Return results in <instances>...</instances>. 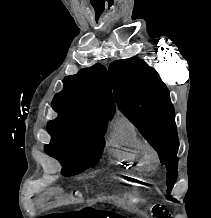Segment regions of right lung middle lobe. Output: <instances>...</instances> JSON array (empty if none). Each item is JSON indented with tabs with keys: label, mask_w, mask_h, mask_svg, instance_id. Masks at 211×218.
I'll return each instance as SVG.
<instances>
[{
	"label": "right lung middle lobe",
	"mask_w": 211,
	"mask_h": 218,
	"mask_svg": "<svg viewBox=\"0 0 211 218\" xmlns=\"http://www.w3.org/2000/svg\"><path fill=\"white\" fill-rule=\"evenodd\" d=\"M47 131L52 137L51 144L75 146L84 150L81 159L63 163L62 175H76L98 163L105 145L104 124H81L55 119L48 122Z\"/></svg>",
	"instance_id": "1"
}]
</instances>
